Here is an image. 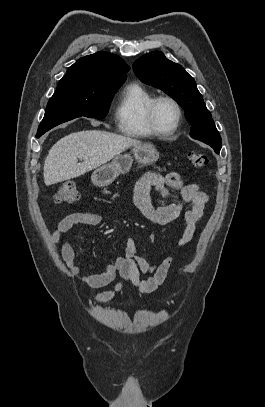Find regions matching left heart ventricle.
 <instances>
[{"label":"left heart ventricle","instance_id":"obj_1","mask_svg":"<svg viewBox=\"0 0 265 407\" xmlns=\"http://www.w3.org/2000/svg\"><path fill=\"white\" fill-rule=\"evenodd\" d=\"M177 118L175 107L168 101L161 102L157 107L156 119L158 126L163 130L170 129Z\"/></svg>","mask_w":265,"mask_h":407}]
</instances>
